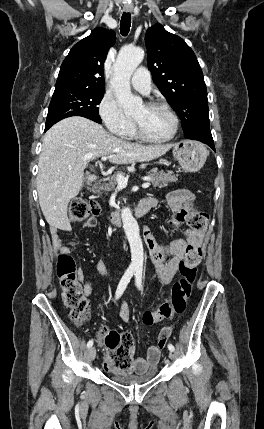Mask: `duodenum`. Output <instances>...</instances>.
<instances>
[{"mask_svg":"<svg viewBox=\"0 0 264 429\" xmlns=\"http://www.w3.org/2000/svg\"><path fill=\"white\" fill-rule=\"evenodd\" d=\"M98 179L97 175H90L89 177V181L90 182H95ZM151 210V204L146 203V202H140L133 210V213L135 216H143L145 214H147L149 211ZM108 221L112 226H117L121 223L122 221V216L120 214V212L118 211H114L111 212L108 215Z\"/></svg>","mask_w":264,"mask_h":429,"instance_id":"duodenum-1","label":"duodenum"}]
</instances>
